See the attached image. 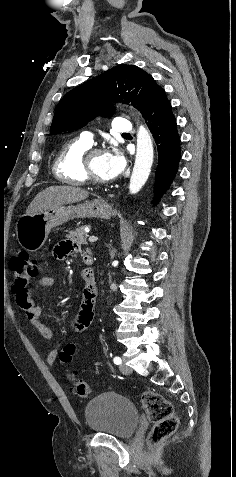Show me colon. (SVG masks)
Masks as SVG:
<instances>
[{"instance_id": "colon-1", "label": "colon", "mask_w": 236, "mask_h": 477, "mask_svg": "<svg viewBox=\"0 0 236 477\" xmlns=\"http://www.w3.org/2000/svg\"><path fill=\"white\" fill-rule=\"evenodd\" d=\"M13 272V292L16 300L24 293H30L32 283L40 271L39 262L31 260L28 252L22 251L15 255L10 263ZM76 353V347L68 344L60 353L63 363L71 361ZM72 380L71 390L79 397H87L91 393L90 386L81 380ZM142 404L149 419L154 423L152 440L159 443L171 436L178 426V419L174 413L172 404L161 394L155 391H147L142 396Z\"/></svg>"}]
</instances>
